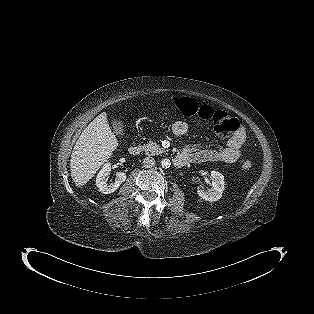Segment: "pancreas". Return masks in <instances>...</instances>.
Returning <instances> with one entry per match:
<instances>
[{
	"instance_id": "obj_1",
	"label": "pancreas",
	"mask_w": 314,
	"mask_h": 314,
	"mask_svg": "<svg viewBox=\"0 0 314 314\" xmlns=\"http://www.w3.org/2000/svg\"><path fill=\"white\" fill-rule=\"evenodd\" d=\"M143 149L146 153V155H159L162 153H165L166 151L161 148L157 143L155 142H149L148 144L143 146Z\"/></svg>"
}]
</instances>
